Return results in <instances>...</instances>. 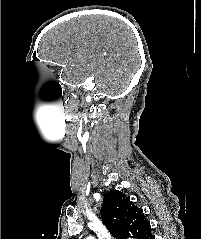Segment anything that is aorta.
I'll return each mask as SVG.
<instances>
[{"label":"aorta","mask_w":201,"mask_h":239,"mask_svg":"<svg viewBox=\"0 0 201 239\" xmlns=\"http://www.w3.org/2000/svg\"><path fill=\"white\" fill-rule=\"evenodd\" d=\"M87 239H93L92 237H88Z\"/></svg>","instance_id":"obj_1"}]
</instances>
